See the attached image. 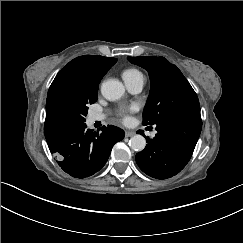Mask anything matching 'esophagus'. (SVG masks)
<instances>
[{"instance_id": "34e87169", "label": "esophagus", "mask_w": 243, "mask_h": 243, "mask_svg": "<svg viewBox=\"0 0 243 243\" xmlns=\"http://www.w3.org/2000/svg\"><path fill=\"white\" fill-rule=\"evenodd\" d=\"M134 135H135V132H133V131H125V137L126 138L134 136Z\"/></svg>"}]
</instances>
